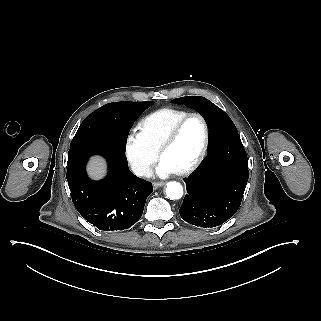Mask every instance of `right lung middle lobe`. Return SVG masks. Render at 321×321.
I'll list each match as a JSON object with an SVG mask.
<instances>
[{"instance_id":"right-lung-middle-lobe-1","label":"right lung middle lobe","mask_w":321,"mask_h":321,"mask_svg":"<svg viewBox=\"0 0 321 321\" xmlns=\"http://www.w3.org/2000/svg\"><path fill=\"white\" fill-rule=\"evenodd\" d=\"M121 103L136 105L142 110H146L154 102H114L99 108L98 110L87 116L81 123L77 130V133L71 141L70 149L79 145H109L118 147L119 145L115 141L110 131V126L107 124V120L103 114V110L108 106Z\"/></svg>"}]
</instances>
